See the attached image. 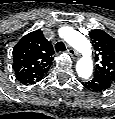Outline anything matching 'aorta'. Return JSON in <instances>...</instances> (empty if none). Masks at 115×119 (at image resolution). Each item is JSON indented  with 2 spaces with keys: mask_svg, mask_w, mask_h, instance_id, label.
Here are the masks:
<instances>
[{
  "mask_svg": "<svg viewBox=\"0 0 115 119\" xmlns=\"http://www.w3.org/2000/svg\"><path fill=\"white\" fill-rule=\"evenodd\" d=\"M62 37L70 46L82 54V58L78 60L76 65L78 76L83 79L89 78L93 71L91 43L80 32L70 28L66 29Z\"/></svg>",
  "mask_w": 115,
  "mask_h": 119,
  "instance_id": "1",
  "label": "aorta"
}]
</instances>
